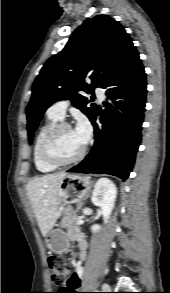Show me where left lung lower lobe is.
<instances>
[{
	"instance_id": "0a47b994",
	"label": "left lung lower lobe",
	"mask_w": 170,
	"mask_h": 293,
	"mask_svg": "<svg viewBox=\"0 0 170 293\" xmlns=\"http://www.w3.org/2000/svg\"><path fill=\"white\" fill-rule=\"evenodd\" d=\"M106 109L91 120L95 143L88 156L68 172L110 174L127 179L141 142L147 83L139 53L132 46L106 83ZM100 118L102 127L95 123Z\"/></svg>"
}]
</instances>
